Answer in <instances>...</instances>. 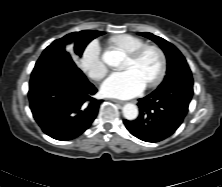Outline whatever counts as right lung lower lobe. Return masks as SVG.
<instances>
[{
  "mask_svg": "<svg viewBox=\"0 0 222 187\" xmlns=\"http://www.w3.org/2000/svg\"><path fill=\"white\" fill-rule=\"evenodd\" d=\"M97 89L75 65L70 55L44 50L29 83L33 117L44 133L56 140H71L95 119L102 100Z\"/></svg>",
  "mask_w": 222,
  "mask_h": 187,
  "instance_id": "98d812e1",
  "label": "right lung lower lobe"
}]
</instances>
